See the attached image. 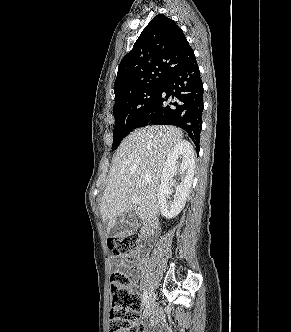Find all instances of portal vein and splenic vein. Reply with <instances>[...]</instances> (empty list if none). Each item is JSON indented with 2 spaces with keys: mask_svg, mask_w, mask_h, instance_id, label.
<instances>
[{
  "mask_svg": "<svg viewBox=\"0 0 291 332\" xmlns=\"http://www.w3.org/2000/svg\"><path fill=\"white\" fill-rule=\"evenodd\" d=\"M131 199H132V201H133L134 204H139L140 203L139 196L132 195Z\"/></svg>",
  "mask_w": 291,
  "mask_h": 332,
  "instance_id": "obj_1",
  "label": "portal vein and splenic vein"
}]
</instances>
